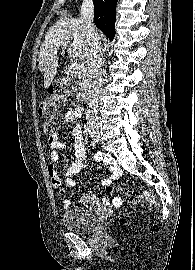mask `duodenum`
Segmentation results:
<instances>
[{"label": "duodenum", "instance_id": "1", "mask_svg": "<svg viewBox=\"0 0 195 270\" xmlns=\"http://www.w3.org/2000/svg\"><path fill=\"white\" fill-rule=\"evenodd\" d=\"M77 70L78 68L74 64H70L67 66V74L70 76H73L74 74H76ZM91 90H92V83L90 81H87L79 91L78 97L80 101H83V102L88 101L91 94Z\"/></svg>", "mask_w": 195, "mask_h": 270}]
</instances>
